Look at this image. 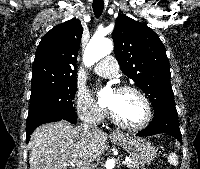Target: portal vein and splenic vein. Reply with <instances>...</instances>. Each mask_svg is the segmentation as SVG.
<instances>
[{
	"label": "portal vein and splenic vein",
	"instance_id": "obj_1",
	"mask_svg": "<svg viewBox=\"0 0 200 169\" xmlns=\"http://www.w3.org/2000/svg\"><path fill=\"white\" fill-rule=\"evenodd\" d=\"M128 162H129V160H125V161L122 162V164L126 165ZM75 163L81 164V162H75Z\"/></svg>",
	"mask_w": 200,
	"mask_h": 169
}]
</instances>
